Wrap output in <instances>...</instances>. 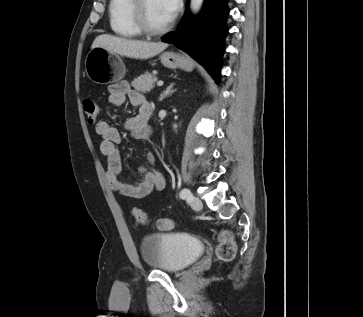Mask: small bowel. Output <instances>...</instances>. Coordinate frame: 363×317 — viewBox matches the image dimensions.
<instances>
[{"label": "small bowel", "instance_id": "obj_1", "mask_svg": "<svg viewBox=\"0 0 363 317\" xmlns=\"http://www.w3.org/2000/svg\"><path fill=\"white\" fill-rule=\"evenodd\" d=\"M126 97L132 106L138 108V114L126 123L127 129L136 139H147L150 129L147 121L150 116V104L145 96L132 90L126 81L113 84L109 89L108 101L115 107L122 106ZM95 132L101 138L100 151L107 159L106 178L113 190L121 195L132 198H143L152 192L162 191L165 187V178L154 169V157L148 152L145 155V162L140 167V176L134 184L126 183L119 179L122 170L121 156L116 144L121 141L119 131L109 122L100 120L95 125Z\"/></svg>", "mask_w": 363, "mask_h": 317}]
</instances>
